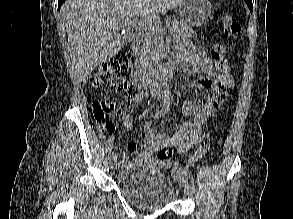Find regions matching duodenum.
<instances>
[{"label": "duodenum", "instance_id": "1", "mask_svg": "<svg viewBox=\"0 0 293 219\" xmlns=\"http://www.w3.org/2000/svg\"><path fill=\"white\" fill-rule=\"evenodd\" d=\"M144 35L142 33L137 35V38L133 44V52L137 58L136 69L131 76V83L134 87L144 89L152 84L150 73L146 66L140 61V55L143 49ZM176 70V64L169 62L163 65L158 76V82H162L172 77Z\"/></svg>", "mask_w": 293, "mask_h": 219}]
</instances>
